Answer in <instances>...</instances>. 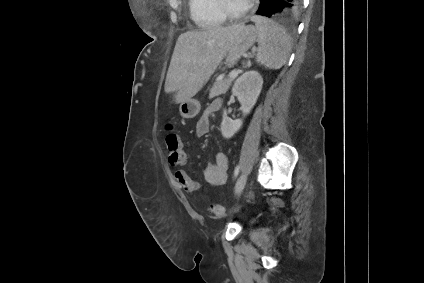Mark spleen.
Returning <instances> with one entry per match:
<instances>
[{
    "mask_svg": "<svg viewBox=\"0 0 424 283\" xmlns=\"http://www.w3.org/2000/svg\"><path fill=\"white\" fill-rule=\"evenodd\" d=\"M253 20L258 32L256 62L267 69L281 68L291 51V38L278 23L261 16Z\"/></svg>",
    "mask_w": 424,
    "mask_h": 283,
    "instance_id": "1",
    "label": "spleen"
}]
</instances>
